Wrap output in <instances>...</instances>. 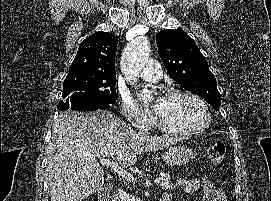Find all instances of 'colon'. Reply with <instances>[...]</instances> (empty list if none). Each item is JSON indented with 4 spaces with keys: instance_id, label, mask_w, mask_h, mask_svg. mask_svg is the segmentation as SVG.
Masks as SVG:
<instances>
[{
    "instance_id": "colon-1",
    "label": "colon",
    "mask_w": 271,
    "mask_h": 201,
    "mask_svg": "<svg viewBox=\"0 0 271 201\" xmlns=\"http://www.w3.org/2000/svg\"><path fill=\"white\" fill-rule=\"evenodd\" d=\"M226 147L223 142H214L207 148V156L212 165L218 167L224 159Z\"/></svg>"
}]
</instances>
